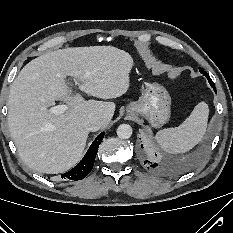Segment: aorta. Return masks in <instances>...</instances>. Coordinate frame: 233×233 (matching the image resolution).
<instances>
[{
    "label": "aorta",
    "instance_id": "1",
    "mask_svg": "<svg viewBox=\"0 0 233 233\" xmlns=\"http://www.w3.org/2000/svg\"><path fill=\"white\" fill-rule=\"evenodd\" d=\"M117 135L121 139H128L132 135V128L128 124H121L117 128Z\"/></svg>",
    "mask_w": 233,
    "mask_h": 233
}]
</instances>
